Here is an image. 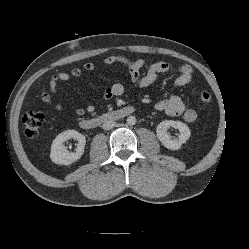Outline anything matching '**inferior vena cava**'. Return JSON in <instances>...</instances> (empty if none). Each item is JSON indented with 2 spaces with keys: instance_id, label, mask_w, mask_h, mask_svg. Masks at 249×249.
Wrapping results in <instances>:
<instances>
[{
  "instance_id": "inferior-vena-cava-1",
  "label": "inferior vena cava",
  "mask_w": 249,
  "mask_h": 249,
  "mask_svg": "<svg viewBox=\"0 0 249 249\" xmlns=\"http://www.w3.org/2000/svg\"><path fill=\"white\" fill-rule=\"evenodd\" d=\"M115 125H116V122H115L114 120L108 119V120H106V121L103 123L102 128H103L104 130H110V129L114 128Z\"/></svg>"
}]
</instances>
